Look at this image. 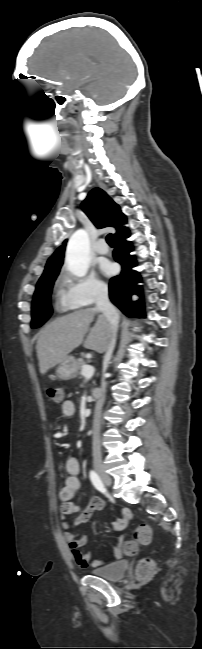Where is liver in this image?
I'll return each mask as SVG.
<instances>
[{"mask_svg":"<svg viewBox=\"0 0 202 649\" xmlns=\"http://www.w3.org/2000/svg\"><path fill=\"white\" fill-rule=\"evenodd\" d=\"M97 313L96 308L78 310L56 318L40 331L36 351L41 374L61 363L82 344ZM111 335L109 321L103 314L99 315L84 342V347L98 353L106 352Z\"/></svg>","mask_w":202,"mask_h":649,"instance_id":"liver-1","label":"liver"}]
</instances>
